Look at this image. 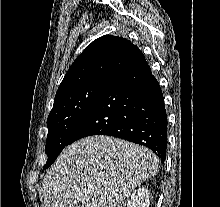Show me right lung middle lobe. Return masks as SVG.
<instances>
[{"label":"right lung middle lobe","mask_w":220,"mask_h":207,"mask_svg":"<svg viewBox=\"0 0 220 207\" xmlns=\"http://www.w3.org/2000/svg\"><path fill=\"white\" fill-rule=\"evenodd\" d=\"M106 81L96 80L55 97L47 119L45 152L48 160L43 169L48 168L69 145L71 135L93 107Z\"/></svg>","instance_id":"1"}]
</instances>
